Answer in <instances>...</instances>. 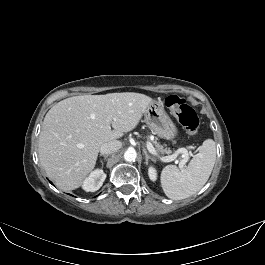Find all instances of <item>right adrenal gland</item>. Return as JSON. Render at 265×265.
Returning <instances> with one entry per match:
<instances>
[{
  "instance_id": "1",
  "label": "right adrenal gland",
  "mask_w": 265,
  "mask_h": 265,
  "mask_svg": "<svg viewBox=\"0 0 265 265\" xmlns=\"http://www.w3.org/2000/svg\"><path fill=\"white\" fill-rule=\"evenodd\" d=\"M100 156H102V154H100ZM107 157H108V155H104V160H106Z\"/></svg>"
}]
</instances>
